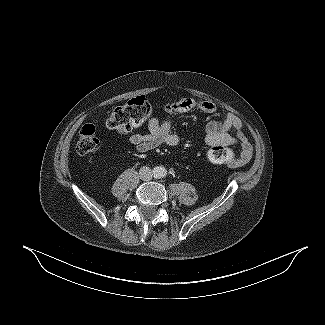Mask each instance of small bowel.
Wrapping results in <instances>:
<instances>
[{
  "mask_svg": "<svg viewBox=\"0 0 325 325\" xmlns=\"http://www.w3.org/2000/svg\"><path fill=\"white\" fill-rule=\"evenodd\" d=\"M192 110L214 114L218 109L212 102L198 101L193 98H184L166 105V111L169 113H184ZM230 131H233L235 135H231ZM205 132V143L210 147L240 145V157L233 165H242L251 159L252 146L244 135L241 121L237 116L227 114L222 120L209 121L205 126ZM127 141L134 146L138 153H145L162 145L175 147L179 145L180 138L172 131V121H160L155 118L148 123L147 134H129Z\"/></svg>",
  "mask_w": 325,
  "mask_h": 325,
  "instance_id": "obj_1",
  "label": "small bowel"
}]
</instances>
